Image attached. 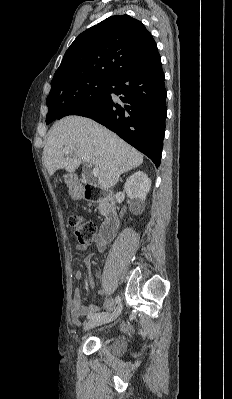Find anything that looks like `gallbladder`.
Instances as JSON below:
<instances>
[{
  "instance_id": "bac80fb5",
  "label": "gallbladder",
  "mask_w": 232,
  "mask_h": 399,
  "mask_svg": "<svg viewBox=\"0 0 232 399\" xmlns=\"http://www.w3.org/2000/svg\"><path fill=\"white\" fill-rule=\"evenodd\" d=\"M83 173L84 174H90L91 173V168L90 167H84L83 168Z\"/></svg>"
}]
</instances>
